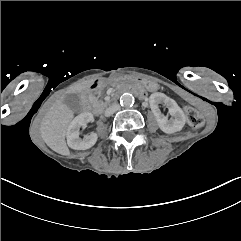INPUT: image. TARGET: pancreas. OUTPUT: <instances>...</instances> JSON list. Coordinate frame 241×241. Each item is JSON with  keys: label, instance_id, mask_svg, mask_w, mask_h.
<instances>
[{"label": "pancreas", "instance_id": "obj_1", "mask_svg": "<svg viewBox=\"0 0 241 241\" xmlns=\"http://www.w3.org/2000/svg\"><path fill=\"white\" fill-rule=\"evenodd\" d=\"M90 102L92 103V105H93V107L94 108H98V109H103V108H105L107 105H108V103L109 102H104V101H102V100H100V101H98V99H96L95 97H90ZM96 102H99L100 104H99V106H96Z\"/></svg>", "mask_w": 241, "mask_h": 241}]
</instances>
